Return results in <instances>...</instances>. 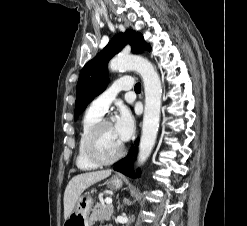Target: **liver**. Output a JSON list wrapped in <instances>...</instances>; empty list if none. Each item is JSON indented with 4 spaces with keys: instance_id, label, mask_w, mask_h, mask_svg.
<instances>
[{
    "instance_id": "liver-1",
    "label": "liver",
    "mask_w": 247,
    "mask_h": 226,
    "mask_svg": "<svg viewBox=\"0 0 247 226\" xmlns=\"http://www.w3.org/2000/svg\"><path fill=\"white\" fill-rule=\"evenodd\" d=\"M111 175V170L86 172L74 176L68 183L64 193V219L71 214L76 202L85 189Z\"/></svg>"
}]
</instances>
